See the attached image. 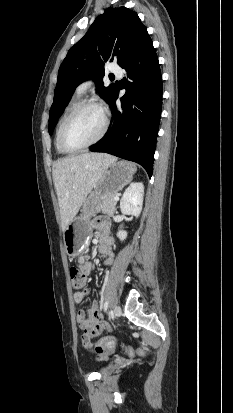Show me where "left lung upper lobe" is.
Instances as JSON below:
<instances>
[{"label": "left lung upper lobe", "mask_w": 233, "mask_h": 413, "mask_svg": "<svg viewBox=\"0 0 233 413\" xmlns=\"http://www.w3.org/2000/svg\"><path fill=\"white\" fill-rule=\"evenodd\" d=\"M146 35V27L137 13L126 7L108 8L95 19L86 35L68 51L59 68L49 114L50 135L75 88L86 79L96 80L98 91L109 103L114 86L104 87V63L112 61V55L117 56V63L121 65Z\"/></svg>", "instance_id": "obj_1"}]
</instances>
